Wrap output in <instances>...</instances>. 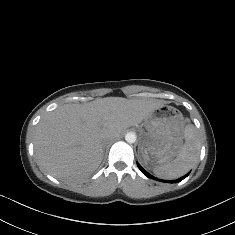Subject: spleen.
Wrapping results in <instances>:
<instances>
[{
    "mask_svg": "<svg viewBox=\"0 0 235 235\" xmlns=\"http://www.w3.org/2000/svg\"><path fill=\"white\" fill-rule=\"evenodd\" d=\"M185 144L178 156L171 161L153 168L154 174L161 179H176L185 175L198 162L199 140L197 129L194 125L188 124L184 130Z\"/></svg>",
    "mask_w": 235,
    "mask_h": 235,
    "instance_id": "3e777b00",
    "label": "spleen"
}]
</instances>
